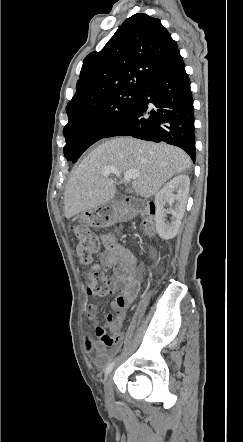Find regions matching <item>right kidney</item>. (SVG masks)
Listing matches in <instances>:
<instances>
[{"mask_svg":"<svg viewBox=\"0 0 243 442\" xmlns=\"http://www.w3.org/2000/svg\"><path fill=\"white\" fill-rule=\"evenodd\" d=\"M189 186V177L187 175H179L170 180L156 194V230L162 239L168 240L176 236L185 212ZM165 204L171 206V209L167 212L171 214L170 223L166 221Z\"/></svg>","mask_w":243,"mask_h":442,"instance_id":"ca27d5eb","label":"right kidney"}]
</instances>
